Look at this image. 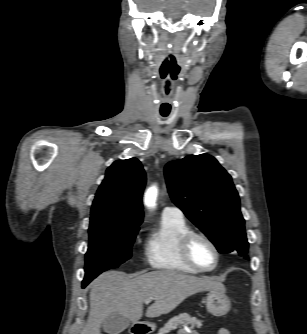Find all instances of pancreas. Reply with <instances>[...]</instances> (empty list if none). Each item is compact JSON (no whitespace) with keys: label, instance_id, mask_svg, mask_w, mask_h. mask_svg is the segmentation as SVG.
Instances as JSON below:
<instances>
[{"label":"pancreas","instance_id":"1","mask_svg":"<svg viewBox=\"0 0 307 334\" xmlns=\"http://www.w3.org/2000/svg\"><path fill=\"white\" fill-rule=\"evenodd\" d=\"M183 325L189 326L191 329L201 328L202 321L196 317H191L187 313H182L170 319L156 334H168Z\"/></svg>","mask_w":307,"mask_h":334}]
</instances>
